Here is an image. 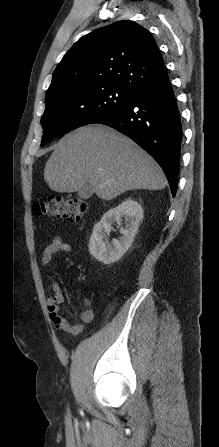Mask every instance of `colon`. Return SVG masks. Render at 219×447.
Instances as JSON below:
<instances>
[{
	"label": "colon",
	"mask_w": 219,
	"mask_h": 447,
	"mask_svg": "<svg viewBox=\"0 0 219 447\" xmlns=\"http://www.w3.org/2000/svg\"><path fill=\"white\" fill-rule=\"evenodd\" d=\"M35 213L50 218H63L79 223L88 212L87 203L80 198L50 197L35 204Z\"/></svg>",
	"instance_id": "5ec220e1"
}]
</instances>
